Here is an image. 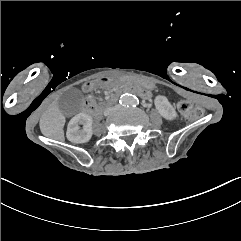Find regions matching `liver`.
Returning <instances> with one entry per match:
<instances>
[{
	"label": "liver",
	"mask_w": 241,
	"mask_h": 241,
	"mask_svg": "<svg viewBox=\"0 0 241 241\" xmlns=\"http://www.w3.org/2000/svg\"><path fill=\"white\" fill-rule=\"evenodd\" d=\"M65 123L66 117L64 113L58 105L52 104L40 119L41 133L47 138L64 142Z\"/></svg>",
	"instance_id": "1"
}]
</instances>
